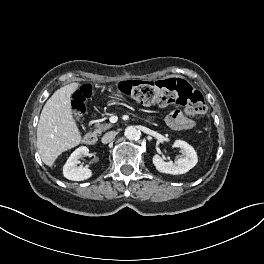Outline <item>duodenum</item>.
<instances>
[{
	"instance_id": "410a0bca",
	"label": "duodenum",
	"mask_w": 264,
	"mask_h": 264,
	"mask_svg": "<svg viewBox=\"0 0 264 264\" xmlns=\"http://www.w3.org/2000/svg\"><path fill=\"white\" fill-rule=\"evenodd\" d=\"M97 135L94 132H88L84 137V142L87 145L93 146L97 143Z\"/></svg>"
}]
</instances>
